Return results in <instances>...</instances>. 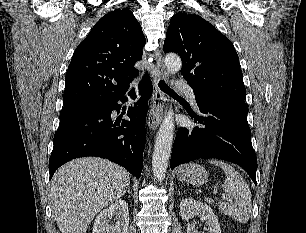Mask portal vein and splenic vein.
Masks as SVG:
<instances>
[{
  "label": "portal vein and splenic vein",
  "mask_w": 306,
  "mask_h": 233,
  "mask_svg": "<svg viewBox=\"0 0 306 233\" xmlns=\"http://www.w3.org/2000/svg\"><path fill=\"white\" fill-rule=\"evenodd\" d=\"M213 194H217V190H214V191H213ZM221 198H222V199H226V200L231 201V199H230V198H228V197H227V196H225V195H222V196H221Z\"/></svg>",
  "instance_id": "1"
}]
</instances>
